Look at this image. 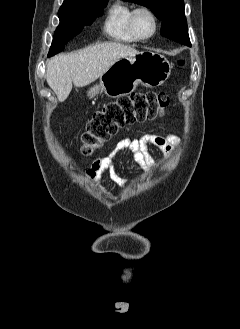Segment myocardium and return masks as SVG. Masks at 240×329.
<instances>
[{
    "instance_id": "1",
    "label": "myocardium",
    "mask_w": 240,
    "mask_h": 329,
    "mask_svg": "<svg viewBox=\"0 0 240 329\" xmlns=\"http://www.w3.org/2000/svg\"><path fill=\"white\" fill-rule=\"evenodd\" d=\"M140 14L148 15L153 22V29L149 35L143 36L137 30L136 20ZM129 24H130V30L133 33V35L135 36V38L137 40H142V41L151 39L157 33L158 27H159V22H158V18L156 16V14L152 11V9L145 7V6H140L133 10L131 17H130Z\"/></svg>"
}]
</instances>
